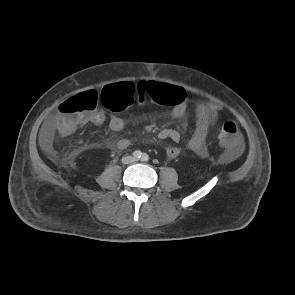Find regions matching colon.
Segmentation results:
<instances>
[{"instance_id":"obj_1","label":"colon","mask_w":295,"mask_h":295,"mask_svg":"<svg viewBox=\"0 0 295 295\" xmlns=\"http://www.w3.org/2000/svg\"><path fill=\"white\" fill-rule=\"evenodd\" d=\"M178 91L170 85L142 82L134 85L129 82H118L107 85L101 92L100 100L110 111H123L136 99L144 101L172 104ZM98 103L97 93L87 91L68 98L59 105L56 116V130L62 136L72 134L85 118L90 115ZM220 145L229 150L237 147L240 135L238 127L233 122L223 124L218 136Z\"/></svg>"}]
</instances>
